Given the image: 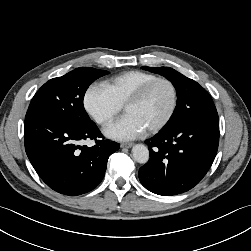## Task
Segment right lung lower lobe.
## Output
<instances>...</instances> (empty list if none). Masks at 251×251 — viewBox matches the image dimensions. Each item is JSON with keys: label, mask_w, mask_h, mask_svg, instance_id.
I'll return each mask as SVG.
<instances>
[{"label": "right lung lower lobe", "mask_w": 251, "mask_h": 251, "mask_svg": "<svg viewBox=\"0 0 251 251\" xmlns=\"http://www.w3.org/2000/svg\"><path fill=\"white\" fill-rule=\"evenodd\" d=\"M99 138L103 136L95 123L80 128L41 113H26L27 156L41 179L61 194H84L102 181L108 158L119 144ZM86 139L95 140L96 145H77Z\"/></svg>", "instance_id": "obj_1"}]
</instances>
